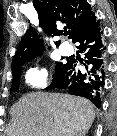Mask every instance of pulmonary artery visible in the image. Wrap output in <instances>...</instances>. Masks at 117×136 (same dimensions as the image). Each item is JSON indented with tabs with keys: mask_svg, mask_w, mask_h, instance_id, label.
I'll return each instance as SVG.
<instances>
[{
	"mask_svg": "<svg viewBox=\"0 0 117 136\" xmlns=\"http://www.w3.org/2000/svg\"><path fill=\"white\" fill-rule=\"evenodd\" d=\"M60 52L64 55H69L72 52V48L67 46H61Z\"/></svg>",
	"mask_w": 117,
	"mask_h": 136,
	"instance_id": "1",
	"label": "pulmonary artery"
}]
</instances>
